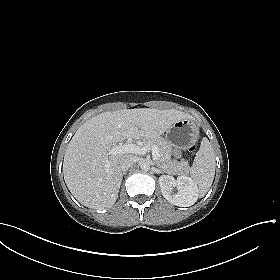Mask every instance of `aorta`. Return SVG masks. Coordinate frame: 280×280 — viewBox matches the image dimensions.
Instances as JSON below:
<instances>
[{
	"label": "aorta",
	"mask_w": 280,
	"mask_h": 280,
	"mask_svg": "<svg viewBox=\"0 0 280 280\" xmlns=\"http://www.w3.org/2000/svg\"><path fill=\"white\" fill-rule=\"evenodd\" d=\"M140 167L143 171H148L150 169V165L146 162L142 163Z\"/></svg>",
	"instance_id": "aorta-1"
}]
</instances>
